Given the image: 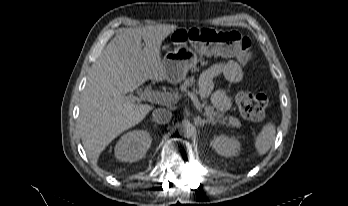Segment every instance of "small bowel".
Masks as SVG:
<instances>
[{
    "label": "small bowel",
    "instance_id": "c3829d8e",
    "mask_svg": "<svg viewBox=\"0 0 348 206\" xmlns=\"http://www.w3.org/2000/svg\"><path fill=\"white\" fill-rule=\"evenodd\" d=\"M222 76L231 83L240 82L243 72L240 65L233 60H224L211 65L199 79V90L202 97H208L213 89L214 79ZM212 101L218 110L226 111L231 106V99L225 88H220L212 95Z\"/></svg>",
    "mask_w": 348,
    "mask_h": 206
}]
</instances>
